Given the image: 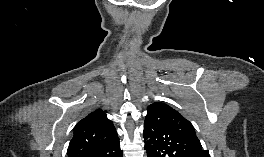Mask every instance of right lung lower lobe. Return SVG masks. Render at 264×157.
<instances>
[{
	"label": "right lung lower lobe",
	"mask_w": 264,
	"mask_h": 157,
	"mask_svg": "<svg viewBox=\"0 0 264 157\" xmlns=\"http://www.w3.org/2000/svg\"><path fill=\"white\" fill-rule=\"evenodd\" d=\"M92 157H123L122 150L120 149V142L117 141L111 147L96 153Z\"/></svg>",
	"instance_id": "obj_1"
}]
</instances>
